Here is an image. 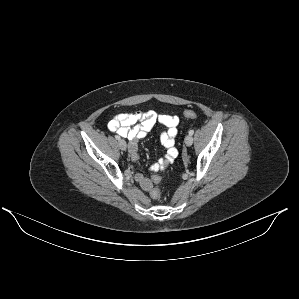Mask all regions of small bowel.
Here are the masks:
<instances>
[{"mask_svg":"<svg viewBox=\"0 0 299 299\" xmlns=\"http://www.w3.org/2000/svg\"><path fill=\"white\" fill-rule=\"evenodd\" d=\"M157 123L166 127V130L160 135L161 143L166 148L165 156L150 166L152 171L157 172L165 169L178 156V151L175 147V137L179 125L177 116L157 114L151 110L120 113L108 122V129L128 139L130 160L136 162L138 160V140L144 138ZM136 180L145 191H151L152 182L149 178L141 173H137Z\"/></svg>","mask_w":299,"mask_h":299,"instance_id":"obj_1","label":"small bowel"}]
</instances>
